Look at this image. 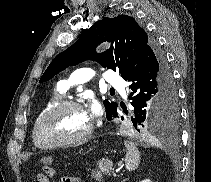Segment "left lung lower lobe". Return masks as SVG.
Here are the masks:
<instances>
[{
  "label": "left lung lower lobe",
  "mask_w": 211,
  "mask_h": 182,
  "mask_svg": "<svg viewBox=\"0 0 211 182\" xmlns=\"http://www.w3.org/2000/svg\"><path fill=\"white\" fill-rule=\"evenodd\" d=\"M124 80L130 83L129 99L134 107L132 122L137 131V125L143 126L145 108L150 101L157 106L163 125L177 122L179 111L176 86L165 54L156 41L151 39L135 69Z\"/></svg>",
  "instance_id": "0a47b994"
}]
</instances>
